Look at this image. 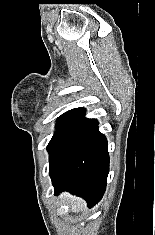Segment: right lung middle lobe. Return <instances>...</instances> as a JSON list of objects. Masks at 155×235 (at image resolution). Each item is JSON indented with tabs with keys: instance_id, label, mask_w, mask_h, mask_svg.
<instances>
[{
	"instance_id": "dd1d6c3e",
	"label": "right lung middle lobe",
	"mask_w": 155,
	"mask_h": 235,
	"mask_svg": "<svg viewBox=\"0 0 155 235\" xmlns=\"http://www.w3.org/2000/svg\"><path fill=\"white\" fill-rule=\"evenodd\" d=\"M93 125L91 122L60 116L56 125V132L47 146L50 166L54 164L72 142L87 132Z\"/></svg>"
}]
</instances>
